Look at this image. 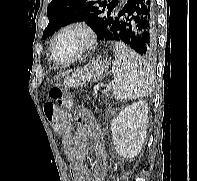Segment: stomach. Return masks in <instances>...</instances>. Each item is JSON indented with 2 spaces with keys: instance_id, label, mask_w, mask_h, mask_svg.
Returning a JSON list of instances; mask_svg holds the SVG:
<instances>
[{
  "instance_id": "1",
  "label": "stomach",
  "mask_w": 197,
  "mask_h": 181,
  "mask_svg": "<svg viewBox=\"0 0 197 181\" xmlns=\"http://www.w3.org/2000/svg\"><path fill=\"white\" fill-rule=\"evenodd\" d=\"M108 62L97 59L72 74H66L63 84L69 88H78L88 83L102 80L108 71Z\"/></svg>"
}]
</instances>
